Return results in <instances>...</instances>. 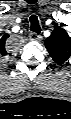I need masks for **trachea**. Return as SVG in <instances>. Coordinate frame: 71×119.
<instances>
[{
    "instance_id": "1",
    "label": "trachea",
    "mask_w": 71,
    "mask_h": 119,
    "mask_svg": "<svg viewBox=\"0 0 71 119\" xmlns=\"http://www.w3.org/2000/svg\"><path fill=\"white\" fill-rule=\"evenodd\" d=\"M30 23H31V27H30L31 31L39 34L41 31V28H40L39 21L36 15H32L30 17Z\"/></svg>"
}]
</instances>
